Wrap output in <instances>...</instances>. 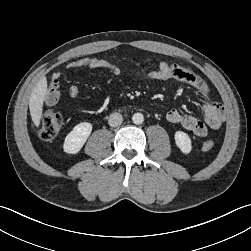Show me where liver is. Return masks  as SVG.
Returning a JSON list of instances; mask_svg holds the SVG:
<instances>
[{
    "label": "liver",
    "instance_id": "liver-1",
    "mask_svg": "<svg viewBox=\"0 0 251 251\" xmlns=\"http://www.w3.org/2000/svg\"><path fill=\"white\" fill-rule=\"evenodd\" d=\"M47 92V79L42 77L34 90L31 93L29 99V109L33 123L36 127H39L40 120L43 112V103Z\"/></svg>",
    "mask_w": 251,
    "mask_h": 251
}]
</instances>
